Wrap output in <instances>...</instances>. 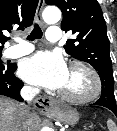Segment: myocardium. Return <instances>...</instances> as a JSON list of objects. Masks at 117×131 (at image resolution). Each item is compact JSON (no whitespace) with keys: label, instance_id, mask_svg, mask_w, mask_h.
I'll return each mask as SVG.
<instances>
[{"label":"myocardium","instance_id":"obj_1","mask_svg":"<svg viewBox=\"0 0 117 131\" xmlns=\"http://www.w3.org/2000/svg\"><path fill=\"white\" fill-rule=\"evenodd\" d=\"M69 69H80L85 72L90 79V89L87 93L82 95H73L59 90V97L65 101L78 104L88 103L95 100L100 95L102 89L101 79L97 71L81 61H73L70 63Z\"/></svg>","mask_w":117,"mask_h":131}]
</instances>
